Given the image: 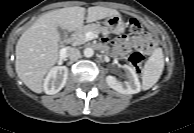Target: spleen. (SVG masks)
<instances>
[{"mask_svg": "<svg viewBox=\"0 0 194 133\" xmlns=\"http://www.w3.org/2000/svg\"><path fill=\"white\" fill-rule=\"evenodd\" d=\"M164 69V56L161 48H157L153 51L144 65L142 73V88L148 90L154 86Z\"/></svg>", "mask_w": 194, "mask_h": 133, "instance_id": "1", "label": "spleen"}]
</instances>
